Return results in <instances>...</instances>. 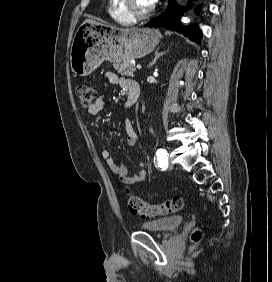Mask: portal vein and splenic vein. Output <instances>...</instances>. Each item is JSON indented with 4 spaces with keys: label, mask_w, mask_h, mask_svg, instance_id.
<instances>
[{
    "label": "portal vein and splenic vein",
    "mask_w": 272,
    "mask_h": 282,
    "mask_svg": "<svg viewBox=\"0 0 272 282\" xmlns=\"http://www.w3.org/2000/svg\"><path fill=\"white\" fill-rule=\"evenodd\" d=\"M136 68L137 69H141V65H136Z\"/></svg>",
    "instance_id": "portal-vein-and-splenic-vein-1"
}]
</instances>
